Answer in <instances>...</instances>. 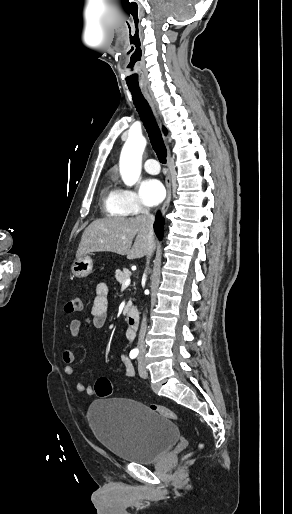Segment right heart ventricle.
Masks as SVG:
<instances>
[{
    "instance_id": "obj_1",
    "label": "right heart ventricle",
    "mask_w": 292,
    "mask_h": 514,
    "mask_svg": "<svg viewBox=\"0 0 292 514\" xmlns=\"http://www.w3.org/2000/svg\"><path fill=\"white\" fill-rule=\"evenodd\" d=\"M100 205L103 214L107 217H120L126 213L120 202L118 189L111 181L105 183L100 190Z\"/></svg>"
}]
</instances>
